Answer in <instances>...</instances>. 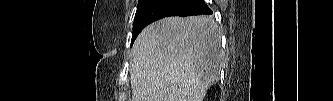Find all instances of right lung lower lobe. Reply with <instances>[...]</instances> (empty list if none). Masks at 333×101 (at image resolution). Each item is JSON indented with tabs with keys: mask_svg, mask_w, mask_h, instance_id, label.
Returning <instances> with one entry per match:
<instances>
[{
	"mask_svg": "<svg viewBox=\"0 0 333 101\" xmlns=\"http://www.w3.org/2000/svg\"><path fill=\"white\" fill-rule=\"evenodd\" d=\"M212 14L204 0H146L136 11L132 43L150 23L168 16Z\"/></svg>",
	"mask_w": 333,
	"mask_h": 101,
	"instance_id": "98d812e1",
	"label": "right lung lower lobe"
}]
</instances>
